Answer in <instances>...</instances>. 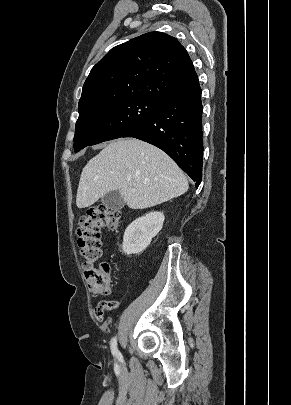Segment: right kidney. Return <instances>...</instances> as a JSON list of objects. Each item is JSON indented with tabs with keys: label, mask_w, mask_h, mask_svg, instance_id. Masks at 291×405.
I'll return each instance as SVG.
<instances>
[{
	"label": "right kidney",
	"mask_w": 291,
	"mask_h": 405,
	"mask_svg": "<svg viewBox=\"0 0 291 405\" xmlns=\"http://www.w3.org/2000/svg\"><path fill=\"white\" fill-rule=\"evenodd\" d=\"M164 220L162 212H149L134 220L124 232L123 252L127 255L143 252L162 229Z\"/></svg>",
	"instance_id": "right-kidney-1"
}]
</instances>
